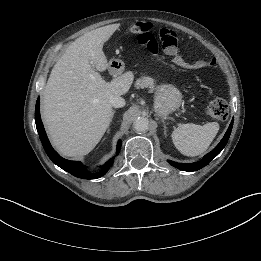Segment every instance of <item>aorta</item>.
Segmentation results:
<instances>
[{
	"label": "aorta",
	"instance_id": "obj_1",
	"mask_svg": "<svg viewBox=\"0 0 261 261\" xmlns=\"http://www.w3.org/2000/svg\"><path fill=\"white\" fill-rule=\"evenodd\" d=\"M133 126L137 132H146L149 129V121L147 118L138 117L134 121Z\"/></svg>",
	"mask_w": 261,
	"mask_h": 261
}]
</instances>
